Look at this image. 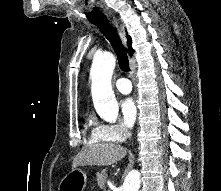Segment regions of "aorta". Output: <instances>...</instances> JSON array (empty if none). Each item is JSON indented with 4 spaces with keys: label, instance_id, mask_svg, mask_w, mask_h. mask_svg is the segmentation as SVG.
Wrapping results in <instances>:
<instances>
[{
    "label": "aorta",
    "instance_id": "obj_1",
    "mask_svg": "<svg viewBox=\"0 0 221 191\" xmlns=\"http://www.w3.org/2000/svg\"><path fill=\"white\" fill-rule=\"evenodd\" d=\"M115 62L112 53L106 52L95 55L90 71L94 107L100 117L108 122H115L119 112L118 103L111 86ZM140 185V172L134 169L127 174L122 191H139Z\"/></svg>",
    "mask_w": 221,
    "mask_h": 191
}]
</instances>
